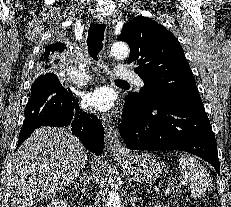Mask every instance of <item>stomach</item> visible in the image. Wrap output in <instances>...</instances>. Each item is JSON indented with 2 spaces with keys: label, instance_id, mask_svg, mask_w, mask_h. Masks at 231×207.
Instances as JSON below:
<instances>
[{
  "label": "stomach",
  "instance_id": "1",
  "mask_svg": "<svg viewBox=\"0 0 231 207\" xmlns=\"http://www.w3.org/2000/svg\"><path fill=\"white\" fill-rule=\"evenodd\" d=\"M117 161L122 171L139 183H151L162 172L161 164L148 153H127L119 156Z\"/></svg>",
  "mask_w": 231,
  "mask_h": 207
}]
</instances>
